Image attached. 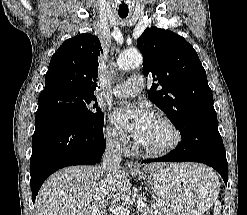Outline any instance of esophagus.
Wrapping results in <instances>:
<instances>
[{"instance_id":"obj_1","label":"esophagus","mask_w":247,"mask_h":215,"mask_svg":"<svg viewBox=\"0 0 247 215\" xmlns=\"http://www.w3.org/2000/svg\"><path fill=\"white\" fill-rule=\"evenodd\" d=\"M127 168L131 172H137L139 170V165L135 162H128Z\"/></svg>"}]
</instances>
